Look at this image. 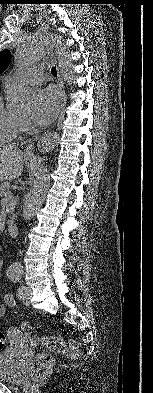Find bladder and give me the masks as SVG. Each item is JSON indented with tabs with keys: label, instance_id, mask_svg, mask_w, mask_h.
Instances as JSON below:
<instances>
[{
	"label": "bladder",
	"instance_id": "obj_1",
	"mask_svg": "<svg viewBox=\"0 0 153 393\" xmlns=\"http://www.w3.org/2000/svg\"><path fill=\"white\" fill-rule=\"evenodd\" d=\"M22 377V367L16 361V353L13 348L0 351V380L17 384Z\"/></svg>",
	"mask_w": 153,
	"mask_h": 393
}]
</instances>
